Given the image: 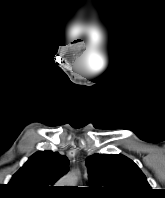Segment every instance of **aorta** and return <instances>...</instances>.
<instances>
[{
  "label": "aorta",
  "instance_id": "762f6f07",
  "mask_svg": "<svg viewBox=\"0 0 165 198\" xmlns=\"http://www.w3.org/2000/svg\"><path fill=\"white\" fill-rule=\"evenodd\" d=\"M78 181V176L76 173H71L66 175L62 180L61 184L63 186H75Z\"/></svg>",
  "mask_w": 165,
  "mask_h": 198
}]
</instances>
